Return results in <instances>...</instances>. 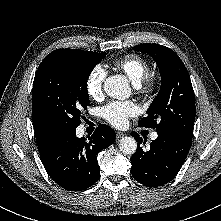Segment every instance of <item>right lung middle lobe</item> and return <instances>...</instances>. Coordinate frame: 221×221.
Segmentation results:
<instances>
[{"label":"right lung middle lobe","mask_w":221,"mask_h":221,"mask_svg":"<svg viewBox=\"0 0 221 221\" xmlns=\"http://www.w3.org/2000/svg\"><path fill=\"white\" fill-rule=\"evenodd\" d=\"M106 53L79 49L57 50L40 64L33 82L32 116L44 129H76L90 102L87 80Z\"/></svg>","instance_id":"right-lung-middle-lobe-1"}]
</instances>
